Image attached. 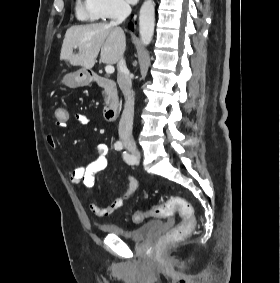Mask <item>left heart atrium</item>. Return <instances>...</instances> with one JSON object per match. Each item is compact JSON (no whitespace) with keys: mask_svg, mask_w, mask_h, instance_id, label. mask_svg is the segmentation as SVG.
Returning <instances> with one entry per match:
<instances>
[{"mask_svg":"<svg viewBox=\"0 0 280 283\" xmlns=\"http://www.w3.org/2000/svg\"><path fill=\"white\" fill-rule=\"evenodd\" d=\"M127 1L131 4H135V3H137L138 0H127Z\"/></svg>","mask_w":280,"mask_h":283,"instance_id":"left-heart-atrium-1","label":"left heart atrium"}]
</instances>
